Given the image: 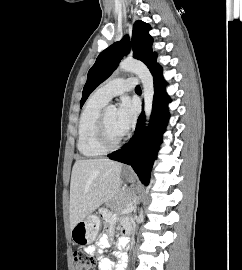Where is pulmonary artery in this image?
<instances>
[{
  "mask_svg": "<svg viewBox=\"0 0 242 270\" xmlns=\"http://www.w3.org/2000/svg\"><path fill=\"white\" fill-rule=\"evenodd\" d=\"M136 87L135 78H116L106 82L99 87L94 96L102 101L108 102L113 97L123 94Z\"/></svg>",
  "mask_w": 242,
  "mask_h": 270,
  "instance_id": "obj_1",
  "label": "pulmonary artery"
}]
</instances>
